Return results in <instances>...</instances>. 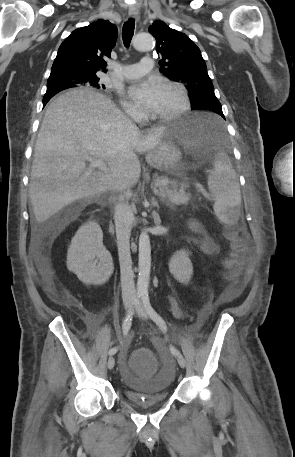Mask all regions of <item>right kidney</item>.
<instances>
[{
	"instance_id": "obj_1",
	"label": "right kidney",
	"mask_w": 295,
	"mask_h": 457,
	"mask_svg": "<svg viewBox=\"0 0 295 457\" xmlns=\"http://www.w3.org/2000/svg\"><path fill=\"white\" fill-rule=\"evenodd\" d=\"M67 268L86 285L107 282L114 267L98 223L89 221L78 229L67 252Z\"/></svg>"
}]
</instances>
